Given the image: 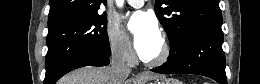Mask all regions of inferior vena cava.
I'll use <instances>...</instances> for the list:
<instances>
[{
    "label": "inferior vena cava",
    "instance_id": "inferior-vena-cava-1",
    "mask_svg": "<svg viewBox=\"0 0 260 84\" xmlns=\"http://www.w3.org/2000/svg\"><path fill=\"white\" fill-rule=\"evenodd\" d=\"M111 69L114 73L122 77H128L131 72L121 52H117L112 56Z\"/></svg>",
    "mask_w": 260,
    "mask_h": 84
}]
</instances>
